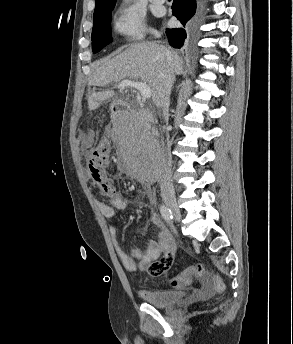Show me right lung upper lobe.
<instances>
[{
    "mask_svg": "<svg viewBox=\"0 0 293 344\" xmlns=\"http://www.w3.org/2000/svg\"><path fill=\"white\" fill-rule=\"evenodd\" d=\"M95 1H96L95 10L106 7L116 2V0H95Z\"/></svg>",
    "mask_w": 293,
    "mask_h": 344,
    "instance_id": "1",
    "label": "right lung upper lobe"
}]
</instances>
